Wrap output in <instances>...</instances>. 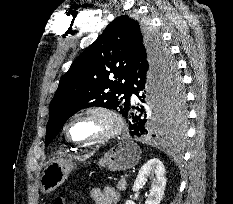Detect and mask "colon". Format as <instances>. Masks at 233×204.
Returning <instances> with one entry per match:
<instances>
[{"label":"colon","instance_id":"colon-1","mask_svg":"<svg viewBox=\"0 0 233 204\" xmlns=\"http://www.w3.org/2000/svg\"><path fill=\"white\" fill-rule=\"evenodd\" d=\"M54 204H65L63 197L58 196L54 200Z\"/></svg>","mask_w":233,"mask_h":204}]
</instances>
